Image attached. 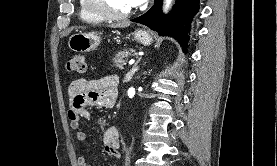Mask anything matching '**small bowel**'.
Wrapping results in <instances>:
<instances>
[{"label":"small bowel","mask_w":277,"mask_h":166,"mask_svg":"<svg viewBox=\"0 0 277 166\" xmlns=\"http://www.w3.org/2000/svg\"><path fill=\"white\" fill-rule=\"evenodd\" d=\"M118 78L115 75L105 76L100 79L87 80L75 79L71 82L68 94L70 108L68 118L70 127L76 130V140L85 142L87 134L80 129L82 120L91 119L92 108H109L117 98ZM104 152L116 159L120 158V135L115 126H108L103 132ZM79 166H94L84 154L78 156Z\"/></svg>","instance_id":"c3829d8e"}]
</instances>
